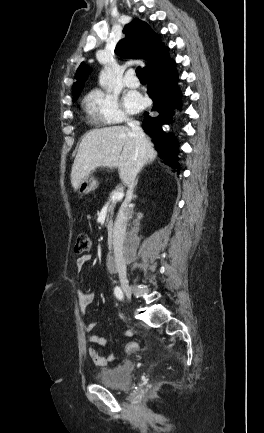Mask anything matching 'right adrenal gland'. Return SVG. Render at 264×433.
<instances>
[{"instance_id":"1","label":"right adrenal gland","mask_w":264,"mask_h":433,"mask_svg":"<svg viewBox=\"0 0 264 433\" xmlns=\"http://www.w3.org/2000/svg\"><path fill=\"white\" fill-rule=\"evenodd\" d=\"M137 183H138V179H136V181H135V186L137 185Z\"/></svg>"}]
</instances>
